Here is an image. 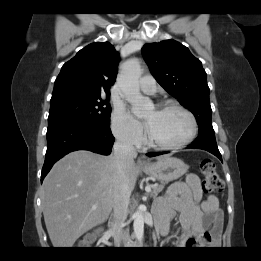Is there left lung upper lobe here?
<instances>
[{"instance_id":"5c2ea615","label":"left lung upper lobe","mask_w":261,"mask_h":261,"mask_svg":"<svg viewBox=\"0 0 261 261\" xmlns=\"http://www.w3.org/2000/svg\"><path fill=\"white\" fill-rule=\"evenodd\" d=\"M142 54L157 82L194 114L198 136L215 135L207 75L199 59L175 40L146 44Z\"/></svg>"}]
</instances>
